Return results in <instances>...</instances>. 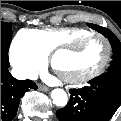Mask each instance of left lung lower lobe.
<instances>
[{"instance_id":"1","label":"left lung lower lobe","mask_w":121,"mask_h":121,"mask_svg":"<svg viewBox=\"0 0 121 121\" xmlns=\"http://www.w3.org/2000/svg\"><path fill=\"white\" fill-rule=\"evenodd\" d=\"M69 93L68 104L56 112L60 121H109L121 103V73L106 72Z\"/></svg>"}]
</instances>
